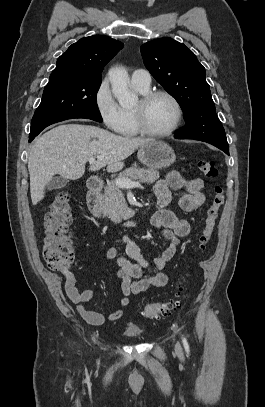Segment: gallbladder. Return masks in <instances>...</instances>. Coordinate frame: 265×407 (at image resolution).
Listing matches in <instances>:
<instances>
[{
  "label": "gallbladder",
  "mask_w": 265,
  "mask_h": 407,
  "mask_svg": "<svg viewBox=\"0 0 265 407\" xmlns=\"http://www.w3.org/2000/svg\"><path fill=\"white\" fill-rule=\"evenodd\" d=\"M67 183L68 180L66 178H63L61 176L53 177L51 181L46 185V188L48 190H56L65 187Z\"/></svg>",
  "instance_id": "bac80fb5"
}]
</instances>
